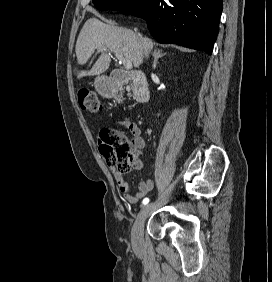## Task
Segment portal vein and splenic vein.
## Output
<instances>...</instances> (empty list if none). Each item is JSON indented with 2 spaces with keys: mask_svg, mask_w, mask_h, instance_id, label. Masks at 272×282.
<instances>
[{
  "mask_svg": "<svg viewBox=\"0 0 272 282\" xmlns=\"http://www.w3.org/2000/svg\"><path fill=\"white\" fill-rule=\"evenodd\" d=\"M99 49H103V47H99ZM115 57L117 58V60H119L120 63H123L124 67L126 69H131L132 68V62L125 60L121 55H119L118 53H115Z\"/></svg>",
  "mask_w": 272,
  "mask_h": 282,
  "instance_id": "obj_1",
  "label": "portal vein and splenic vein"
}]
</instances>
